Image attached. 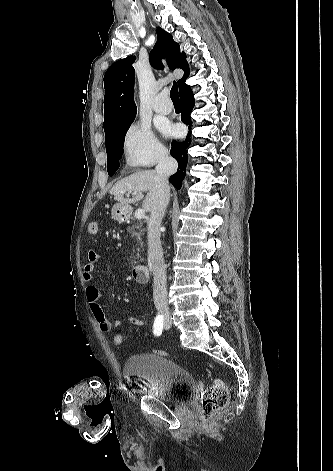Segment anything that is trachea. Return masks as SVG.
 Masks as SVG:
<instances>
[{
    "label": "trachea",
    "mask_w": 333,
    "mask_h": 471,
    "mask_svg": "<svg viewBox=\"0 0 333 471\" xmlns=\"http://www.w3.org/2000/svg\"><path fill=\"white\" fill-rule=\"evenodd\" d=\"M170 97L173 102H179L178 86L175 81L173 82V86L170 91Z\"/></svg>",
    "instance_id": "obj_1"
}]
</instances>
